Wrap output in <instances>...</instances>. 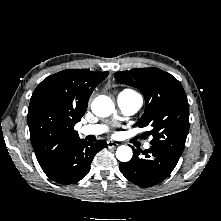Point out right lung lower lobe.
Masks as SVG:
<instances>
[{"label":"right lung lower lobe","mask_w":221,"mask_h":221,"mask_svg":"<svg viewBox=\"0 0 221 221\" xmlns=\"http://www.w3.org/2000/svg\"><path fill=\"white\" fill-rule=\"evenodd\" d=\"M106 146L104 140L88 143L80 139L40 166L44 173L57 183H75L87 175L95 154Z\"/></svg>","instance_id":"obj_1"}]
</instances>
